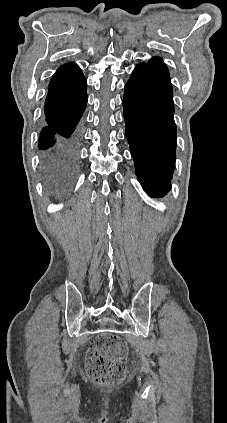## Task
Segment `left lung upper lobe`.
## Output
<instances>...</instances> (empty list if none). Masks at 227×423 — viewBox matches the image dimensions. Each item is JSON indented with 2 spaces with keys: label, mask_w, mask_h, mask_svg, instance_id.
I'll return each instance as SVG.
<instances>
[{
  "label": "left lung upper lobe",
  "mask_w": 227,
  "mask_h": 423,
  "mask_svg": "<svg viewBox=\"0 0 227 423\" xmlns=\"http://www.w3.org/2000/svg\"><path fill=\"white\" fill-rule=\"evenodd\" d=\"M133 72H144L155 76L159 83L167 87L172 93L168 69L160 59L154 58L149 60L147 64L140 63Z\"/></svg>",
  "instance_id": "5c2ea615"
}]
</instances>
